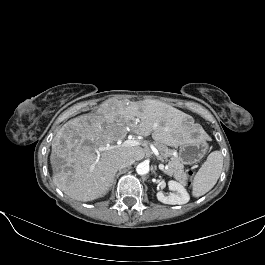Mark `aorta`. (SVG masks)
<instances>
[{
	"mask_svg": "<svg viewBox=\"0 0 265 265\" xmlns=\"http://www.w3.org/2000/svg\"><path fill=\"white\" fill-rule=\"evenodd\" d=\"M136 172L139 175H145L149 172V165L145 162L139 163L136 167Z\"/></svg>",
	"mask_w": 265,
	"mask_h": 265,
	"instance_id": "aorta-1",
	"label": "aorta"
}]
</instances>
